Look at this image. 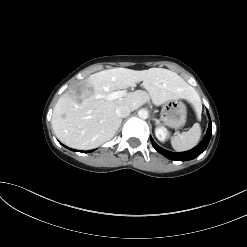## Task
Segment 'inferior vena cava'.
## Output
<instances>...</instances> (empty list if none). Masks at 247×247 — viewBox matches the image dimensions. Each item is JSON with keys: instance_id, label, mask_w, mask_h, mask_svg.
Wrapping results in <instances>:
<instances>
[{"instance_id": "602c4592", "label": "inferior vena cava", "mask_w": 247, "mask_h": 247, "mask_svg": "<svg viewBox=\"0 0 247 247\" xmlns=\"http://www.w3.org/2000/svg\"><path fill=\"white\" fill-rule=\"evenodd\" d=\"M131 109L127 105L118 106L116 109V115L120 118H125L130 115Z\"/></svg>"}]
</instances>
